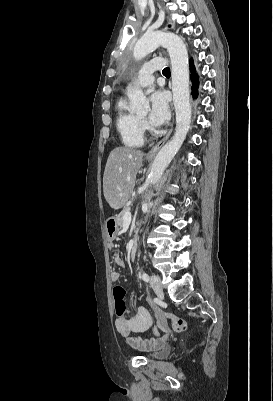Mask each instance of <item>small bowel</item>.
<instances>
[{
    "label": "small bowel",
    "instance_id": "1",
    "mask_svg": "<svg viewBox=\"0 0 273 401\" xmlns=\"http://www.w3.org/2000/svg\"><path fill=\"white\" fill-rule=\"evenodd\" d=\"M114 269L111 272L112 283H117L120 279V274L116 268L124 266V260L120 255L113 258ZM155 317L157 319L158 327H152V317L148 309L143 306L136 308L135 312L124 317L123 319H116L114 322L117 332L125 339L127 345H140V347L147 351H157L163 348L167 342L168 333L171 332L170 328L163 325L167 323L165 318H173L175 313L173 311H159L160 307L155 305L153 307ZM172 326L176 334H186L189 332V323L186 318H173ZM152 331L148 335L149 339L143 340L141 336H132L134 333H145L148 330Z\"/></svg>",
    "mask_w": 273,
    "mask_h": 401
}]
</instances>
